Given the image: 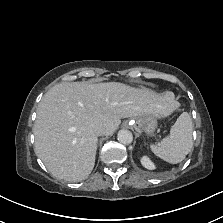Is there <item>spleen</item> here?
<instances>
[{
  "label": "spleen",
  "mask_w": 223,
  "mask_h": 223,
  "mask_svg": "<svg viewBox=\"0 0 223 223\" xmlns=\"http://www.w3.org/2000/svg\"><path fill=\"white\" fill-rule=\"evenodd\" d=\"M193 122L187 112H183L171 127L170 134L158 144H151V151L162 160L177 164L183 161L193 147Z\"/></svg>",
  "instance_id": "1"
}]
</instances>
